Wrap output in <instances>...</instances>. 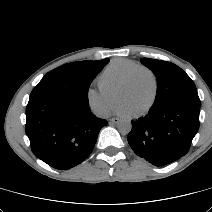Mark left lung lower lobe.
<instances>
[{"label":"left lung lower lobe","mask_w":212,"mask_h":212,"mask_svg":"<svg viewBox=\"0 0 212 212\" xmlns=\"http://www.w3.org/2000/svg\"><path fill=\"white\" fill-rule=\"evenodd\" d=\"M199 112L186 102L153 104L144 118L132 121L129 145L155 166L172 163L188 152L199 129Z\"/></svg>","instance_id":"obj_1"}]
</instances>
